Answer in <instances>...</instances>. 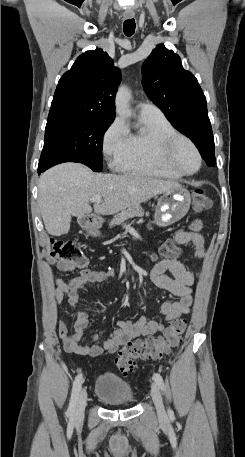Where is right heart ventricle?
I'll return each mask as SVG.
<instances>
[{
  "label": "right heart ventricle",
  "instance_id": "right-heart-ventricle-1",
  "mask_svg": "<svg viewBox=\"0 0 245 457\" xmlns=\"http://www.w3.org/2000/svg\"><path fill=\"white\" fill-rule=\"evenodd\" d=\"M175 133H178L176 128L163 114L140 116V128L137 131L128 132L127 144L113 156V161L117 166L125 169L166 178H178V175L155 166L147 155L149 136L156 134L166 138Z\"/></svg>",
  "mask_w": 245,
  "mask_h": 457
}]
</instances>
